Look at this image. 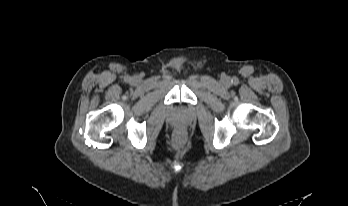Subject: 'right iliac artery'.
Instances as JSON below:
<instances>
[{
	"mask_svg": "<svg viewBox=\"0 0 348 206\" xmlns=\"http://www.w3.org/2000/svg\"><path fill=\"white\" fill-rule=\"evenodd\" d=\"M125 80H126L127 82L130 81V77H127Z\"/></svg>",
	"mask_w": 348,
	"mask_h": 206,
	"instance_id": "82829eb1",
	"label": "right iliac artery"
}]
</instances>
